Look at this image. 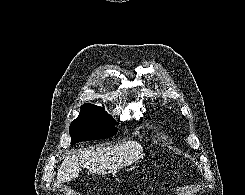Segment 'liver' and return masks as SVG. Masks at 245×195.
Instances as JSON below:
<instances>
[{"label":"liver","instance_id":"6515ba94","mask_svg":"<svg viewBox=\"0 0 245 195\" xmlns=\"http://www.w3.org/2000/svg\"><path fill=\"white\" fill-rule=\"evenodd\" d=\"M143 147L137 141H125L116 145L68 154L57 175L58 183L76 179L83 168L103 175L127 167L143 158Z\"/></svg>","mask_w":245,"mask_h":195}]
</instances>
